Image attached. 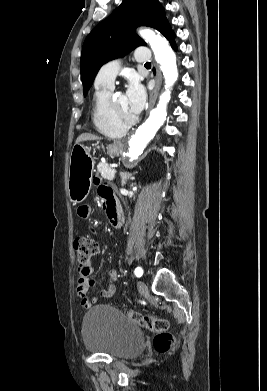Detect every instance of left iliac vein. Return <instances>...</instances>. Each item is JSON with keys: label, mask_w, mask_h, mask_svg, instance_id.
<instances>
[{"label": "left iliac vein", "mask_w": 267, "mask_h": 391, "mask_svg": "<svg viewBox=\"0 0 267 391\" xmlns=\"http://www.w3.org/2000/svg\"><path fill=\"white\" fill-rule=\"evenodd\" d=\"M138 289H139L141 294H145L147 292V285H146V283L143 282V281H139L138 282Z\"/></svg>", "instance_id": "1"}]
</instances>
